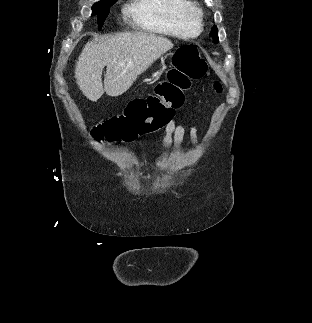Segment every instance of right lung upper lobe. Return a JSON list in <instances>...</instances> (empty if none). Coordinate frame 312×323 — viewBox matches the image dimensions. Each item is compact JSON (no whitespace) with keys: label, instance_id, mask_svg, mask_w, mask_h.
Wrapping results in <instances>:
<instances>
[{"label":"right lung upper lobe","instance_id":"1","mask_svg":"<svg viewBox=\"0 0 312 323\" xmlns=\"http://www.w3.org/2000/svg\"><path fill=\"white\" fill-rule=\"evenodd\" d=\"M112 1H114V0H101V1H99L97 3H109V2H112Z\"/></svg>","mask_w":312,"mask_h":323}]
</instances>
